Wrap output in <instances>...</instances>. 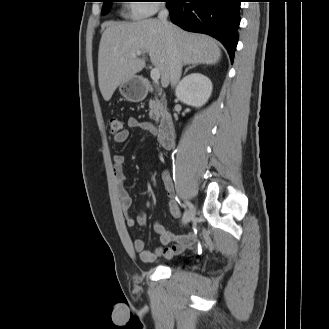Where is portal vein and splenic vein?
I'll return each instance as SVG.
<instances>
[{"instance_id":"portal-vein-and-splenic-vein-1","label":"portal vein and splenic vein","mask_w":329,"mask_h":329,"mask_svg":"<svg viewBox=\"0 0 329 329\" xmlns=\"http://www.w3.org/2000/svg\"><path fill=\"white\" fill-rule=\"evenodd\" d=\"M142 53L141 52H138L137 55L140 56ZM150 76H151V79L154 81V82H157L160 78V72L158 70V68H152L151 69V72H150Z\"/></svg>"}]
</instances>
